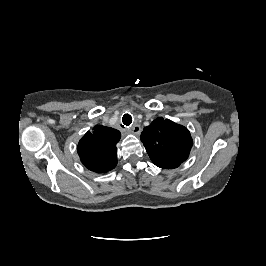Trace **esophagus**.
<instances>
[{
    "label": "esophagus",
    "instance_id": "esophagus-1",
    "mask_svg": "<svg viewBox=\"0 0 266 266\" xmlns=\"http://www.w3.org/2000/svg\"><path fill=\"white\" fill-rule=\"evenodd\" d=\"M130 131H131L133 134L139 135L140 132H141V127H140V125L136 124V125H134V126H132V127L130 128Z\"/></svg>",
    "mask_w": 266,
    "mask_h": 266
}]
</instances>
